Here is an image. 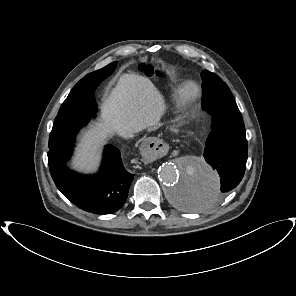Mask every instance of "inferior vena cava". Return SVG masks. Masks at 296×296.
<instances>
[{
    "mask_svg": "<svg viewBox=\"0 0 296 296\" xmlns=\"http://www.w3.org/2000/svg\"><path fill=\"white\" fill-rule=\"evenodd\" d=\"M137 131L135 129L132 128H125V129H120L118 131V134L123 137V138H132L134 136V133H136Z\"/></svg>",
    "mask_w": 296,
    "mask_h": 296,
    "instance_id": "inferior-vena-cava-1",
    "label": "inferior vena cava"
}]
</instances>
